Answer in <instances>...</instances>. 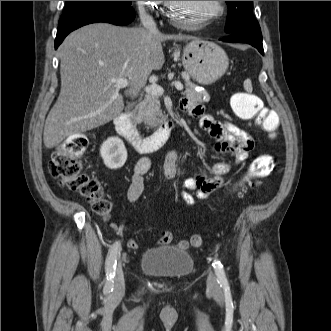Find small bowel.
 Here are the masks:
<instances>
[{"label": "small bowel", "mask_w": 331, "mask_h": 331, "mask_svg": "<svg viewBox=\"0 0 331 331\" xmlns=\"http://www.w3.org/2000/svg\"><path fill=\"white\" fill-rule=\"evenodd\" d=\"M179 109L183 112H187L192 117L199 118L200 127L216 140L213 147L216 153L230 154L235 158L237 163H242L247 159L248 154L254 148V140L245 130L234 123L216 120L214 117L204 112L202 105L189 99H184L180 102ZM178 158V153L173 150L166 155L164 161V173L166 177L174 178L180 175L181 171L178 168ZM149 169L150 161L147 158H141L135 164L130 185L127 190V199L130 203L137 202L142 195L144 190L143 175ZM229 170V163L217 162L207 170L200 171L194 176L186 177L183 182L184 186L187 190L193 191L194 194L188 191H182V199L188 205H193L195 198H209L222 186L224 176ZM171 238V234L164 231L159 237L158 244L166 245L171 242ZM175 245L187 249L189 242L181 239L177 241ZM129 248L132 250L137 249V242L130 240Z\"/></svg>", "instance_id": "small-bowel-1"}]
</instances>
